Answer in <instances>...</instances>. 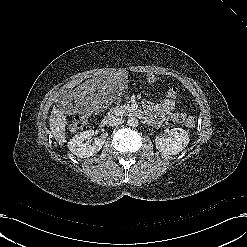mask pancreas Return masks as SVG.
I'll return each instance as SVG.
<instances>
[{
    "instance_id": "1",
    "label": "pancreas",
    "mask_w": 247,
    "mask_h": 247,
    "mask_svg": "<svg viewBox=\"0 0 247 247\" xmlns=\"http://www.w3.org/2000/svg\"><path fill=\"white\" fill-rule=\"evenodd\" d=\"M115 111L119 112L121 115H127L132 112L128 105H121L114 108Z\"/></svg>"
}]
</instances>
